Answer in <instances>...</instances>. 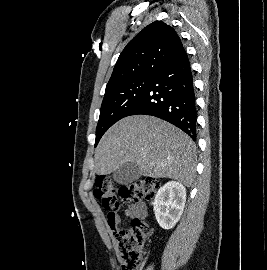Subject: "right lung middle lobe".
Returning <instances> with one entry per match:
<instances>
[{
	"instance_id": "obj_1",
	"label": "right lung middle lobe",
	"mask_w": 267,
	"mask_h": 270,
	"mask_svg": "<svg viewBox=\"0 0 267 270\" xmlns=\"http://www.w3.org/2000/svg\"><path fill=\"white\" fill-rule=\"evenodd\" d=\"M153 76H141L123 82L105 91L96 128L97 146L103 134L135 107L149 88Z\"/></svg>"
}]
</instances>
